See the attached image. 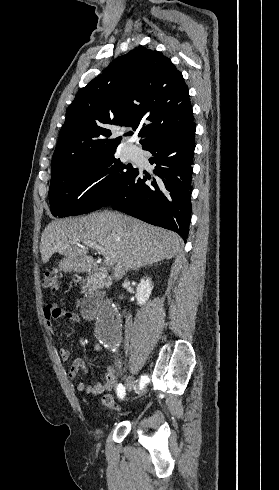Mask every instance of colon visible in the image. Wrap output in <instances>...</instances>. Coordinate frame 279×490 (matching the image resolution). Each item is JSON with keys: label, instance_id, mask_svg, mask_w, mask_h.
Instances as JSON below:
<instances>
[{"label": "colon", "instance_id": "colon-1", "mask_svg": "<svg viewBox=\"0 0 279 490\" xmlns=\"http://www.w3.org/2000/svg\"><path fill=\"white\" fill-rule=\"evenodd\" d=\"M42 285L45 289L50 291H57L59 289V276L54 272H47L43 279ZM100 403L103 407L111 409L113 411L119 410V406L115 404L113 397L106 393L101 397Z\"/></svg>", "mask_w": 279, "mask_h": 490}]
</instances>
